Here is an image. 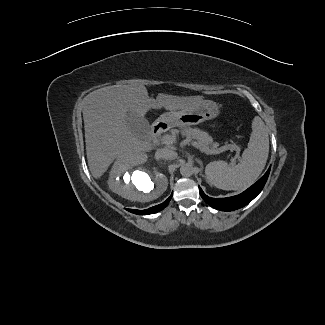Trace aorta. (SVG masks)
<instances>
[{
    "mask_svg": "<svg viewBox=\"0 0 325 325\" xmlns=\"http://www.w3.org/2000/svg\"><path fill=\"white\" fill-rule=\"evenodd\" d=\"M193 167L191 164H183L181 167H180V173L182 176L184 177H190L193 175Z\"/></svg>",
    "mask_w": 325,
    "mask_h": 325,
    "instance_id": "762f6f07",
    "label": "aorta"
}]
</instances>
